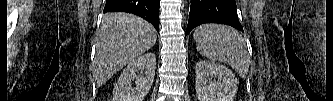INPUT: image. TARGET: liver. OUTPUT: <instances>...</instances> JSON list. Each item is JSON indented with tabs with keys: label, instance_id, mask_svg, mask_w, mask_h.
Wrapping results in <instances>:
<instances>
[{
	"label": "liver",
	"instance_id": "liver-1",
	"mask_svg": "<svg viewBox=\"0 0 333 101\" xmlns=\"http://www.w3.org/2000/svg\"><path fill=\"white\" fill-rule=\"evenodd\" d=\"M155 28L128 13L103 17L96 42L92 71L97 86L103 85L127 63L149 50L156 42Z\"/></svg>",
	"mask_w": 333,
	"mask_h": 101
}]
</instances>
